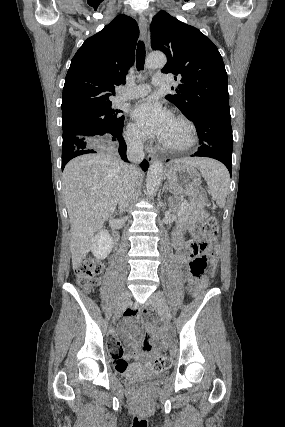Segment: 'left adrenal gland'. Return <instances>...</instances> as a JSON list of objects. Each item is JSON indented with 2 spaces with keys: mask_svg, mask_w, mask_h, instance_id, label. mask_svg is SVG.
Wrapping results in <instances>:
<instances>
[{
  "mask_svg": "<svg viewBox=\"0 0 285 427\" xmlns=\"http://www.w3.org/2000/svg\"><path fill=\"white\" fill-rule=\"evenodd\" d=\"M163 190H169L168 186L165 185ZM165 206H166V204H165Z\"/></svg>",
  "mask_w": 285,
  "mask_h": 427,
  "instance_id": "1",
  "label": "left adrenal gland"
}]
</instances>
